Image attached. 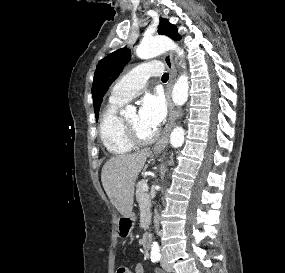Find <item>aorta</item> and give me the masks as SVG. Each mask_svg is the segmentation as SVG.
Segmentation results:
<instances>
[{"instance_id":"aorta-1","label":"aorta","mask_w":285,"mask_h":273,"mask_svg":"<svg viewBox=\"0 0 285 273\" xmlns=\"http://www.w3.org/2000/svg\"><path fill=\"white\" fill-rule=\"evenodd\" d=\"M167 50H174L180 56H183L184 51L178 47L172 40L164 36H156L148 39H143L136 49V54L140 59H150L156 57ZM189 80L186 74H182L176 81L172 90V100L176 105H183L188 98ZM133 110L132 107H127V111ZM184 130L181 127L173 129L170 135V143L174 148L182 146L184 143ZM159 246L157 242L151 245V254H159Z\"/></svg>"}]
</instances>
